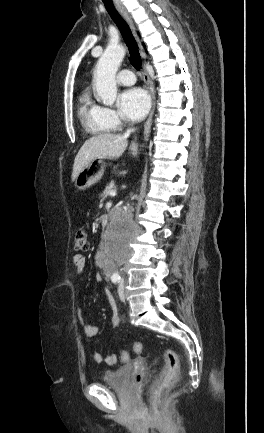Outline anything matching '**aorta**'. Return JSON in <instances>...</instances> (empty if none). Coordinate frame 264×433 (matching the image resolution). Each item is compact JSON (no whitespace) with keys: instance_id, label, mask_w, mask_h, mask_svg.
<instances>
[{"instance_id":"obj_1","label":"aorta","mask_w":264,"mask_h":433,"mask_svg":"<svg viewBox=\"0 0 264 433\" xmlns=\"http://www.w3.org/2000/svg\"><path fill=\"white\" fill-rule=\"evenodd\" d=\"M125 56L123 47H108L97 62L94 83L98 96L106 106H112L117 97L115 76ZM113 276L118 277V271Z\"/></svg>"}]
</instances>
